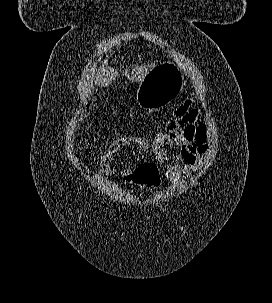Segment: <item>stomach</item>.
<instances>
[{
  "instance_id": "1",
  "label": "stomach",
  "mask_w": 272,
  "mask_h": 303,
  "mask_svg": "<svg viewBox=\"0 0 272 303\" xmlns=\"http://www.w3.org/2000/svg\"><path fill=\"white\" fill-rule=\"evenodd\" d=\"M184 78L172 62L152 69L140 82L136 101L146 110H157L171 103L183 90Z\"/></svg>"
}]
</instances>
